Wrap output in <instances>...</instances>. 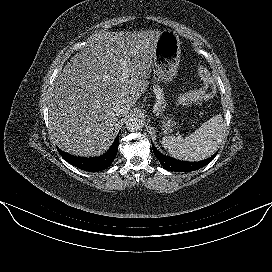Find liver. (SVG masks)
<instances>
[{
	"label": "liver",
	"instance_id": "6515ba94",
	"mask_svg": "<svg viewBox=\"0 0 272 272\" xmlns=\"http://www.w3.org/2000/svg\"><path fill=\"white\" fill-rule=\"evenodd\" d=\"M160 35L156 30L98 32L70 59L49 103V125L60 149L89 157L110 147L118 129L113 107L119 101L132 107L147 90Z\"/></svg>",
	"mask_w": 272,
	"mask_h": 272
}]
</instances>
